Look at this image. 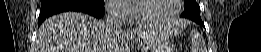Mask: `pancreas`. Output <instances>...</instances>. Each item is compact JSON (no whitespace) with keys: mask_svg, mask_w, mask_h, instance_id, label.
Instances as JSON below:
<instances>
[{"mask_svg":"<svg viewBox=\"0 0 261 52\" xmlns=\"http://www.w3.org/2000/svg\"><path fill=\"white\" fill-rule=\"evenodd\" d=\"M169 51H173V48H169Z\"/></svg>","mask_w":261,"mask_h":52,"instance_id":"obj_1","label":"pancreas"}]
</instances>
